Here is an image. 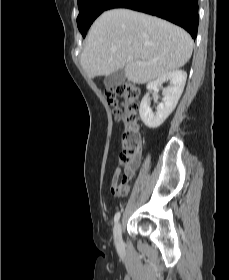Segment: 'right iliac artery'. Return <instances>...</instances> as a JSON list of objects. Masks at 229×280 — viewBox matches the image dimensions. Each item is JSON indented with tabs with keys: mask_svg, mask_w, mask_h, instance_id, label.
I'll list each match as a JSON object with an SVG mask.
<instances>
[{
	"mask_svg": "<svg viewBox=\"0 0 229 280\" xmlns=\"http://www.w3.org/2000/svg\"><path fill=\"white\" fill-rule=\"evenodd\" d=\"M120 219V212H117L114 216V223L116 224Z\"/></svg>",
	"mask_w": 229,
	"mask_h": 280,
	"instance_id": "right-iliac-artery-1",
	"label": "right iliac artery"
}]
</instances>
